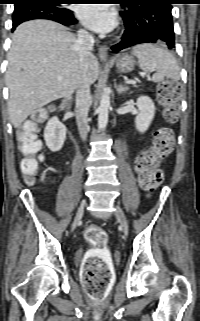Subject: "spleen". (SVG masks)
Here are the masks:
<instances>
[{
	"mask_svg": "<svg viewBox=\"0 0 200 321\" xmlns=\"http://www.w3.org/2000/svg\"><path fill=\"white\" fill-rule=\"evenodd\" d=\"M132 54L138 58L139 67L144 73L156 71V80L164 77L174 81L180 79V69L175 57L163 46L139 44L132 48Z\"/></svg>",
	"mask_w": 200,
	"mask_h": 321,
	"instance_id": "3e777b00",
	"label": "spleen"
}]
</instances>
